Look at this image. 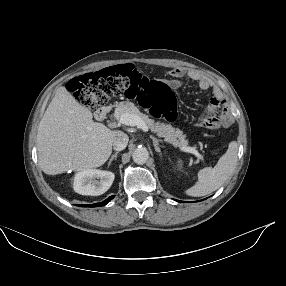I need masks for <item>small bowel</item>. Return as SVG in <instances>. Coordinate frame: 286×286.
I'll list each match as a JSON object with an SVG mask.
<instances>
[{
  "instance_id": "1",
  "label": "small bowel",
  "mask_w": 286,
  "mask_h": 286,
  "mask_svg": "<svg viewBox=\"0 0 286 286\" xmlns=\"http://www.w3.org/2000/svg\"><path fill=\"white\" fill-rule=\"evenodd\" d=\"M169 75L170 80L168 81V84L173 89L179 88L183 84L184 79L195 82L202 90L212 89L213 95L210 103L201 115H207L210 113V111H216L218 114L224 115L226 121L229 120L230 112L228 104L223 94L213 85L208 77L197 71L187 70L182 67H177L170 70Z\"/></svg>"
}]
</instances>
